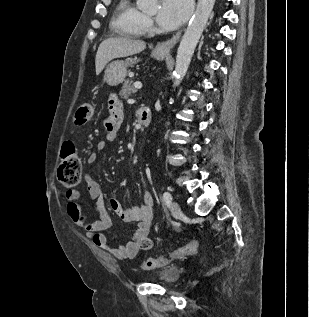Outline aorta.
<instances>
[{
	"label": "aorta",
	"mask_w": 309,
	"mask_h": 317,
	"mask_svg": "<svg viewBox=\"0 0 309 317\" xmlns=\"http://www.w3.org/2000/svg\"><path fill=\"white\" fill-rule=\"evenodd\" d=\"M138 7L144 11H153L156 8L157 0H137ZM215 0H198L194 15L180 42L175 70L173 73V86H178L185 77L189 68L194 50L206 26L208 18L213 10Z\"/></svg>",
	"instance_id": "obj_1"
}]
</instances>
